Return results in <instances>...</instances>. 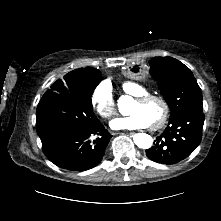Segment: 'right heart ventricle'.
<instances>
[{
	"mask_svg": "<svg viewBox=\"0 0 221 221\" xmlns=\"http://www.w3.org/2000/svg\"><path fill=\"white\" fill-rule=\"evenodd\" d=\"M122 90L135 98L149 94L147 88L134 81H125L121 86Z\"/></svg>",
	"mask_w": 221,
	"mask_h": 221,
	"instance_id": "1",
	"label": "right heart ventricle"
}]
</instances>
